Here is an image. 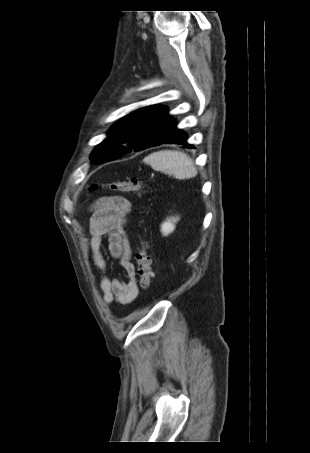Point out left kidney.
Returning a JSON list of instances; mask_svg holds the SVG:
<instances>
[{
	"label": "left kidney",
	"mask_w": 310,
	"mask_h": 453,
	"mask_svg": "<svg viewBox=\"0 0 310 453\" xmlns=\"http://www.w3.org/2000/svg\"><path fill=\"white\" fill-rule=\"evenodd\" d=\"M179 220L178 217H172L167 219L161 224V232L164 236L172 233L175 230V223Z\"/></svg>",
	"instance_id": "5707ae66"
}]
</instances>
